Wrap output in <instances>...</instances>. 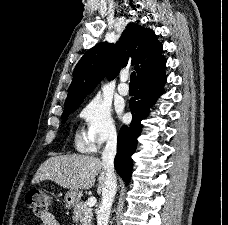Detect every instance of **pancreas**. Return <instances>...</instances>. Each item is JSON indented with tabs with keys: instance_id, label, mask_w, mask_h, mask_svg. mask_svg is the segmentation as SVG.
Returning a JSON list of instances; mask_svg holds the SVG:
<instances>
[{
	"instance_id": "cf45deb5",
	"label": "pancreas",
	"mask_w": 228,
	"mask_h": 225,
	"mask_svg": "<svg viewBox=\"0 0 228 225\" xmlns=\"http://www.w3.org/2000/svg\"><path fill=\"white\" fill-rule=\"evenodd\" d=\"M92 209L86 207L82 201L77 203L73 209V221L78 223V225H91L92 223Z\"/></svg>"
}]
</instances>
